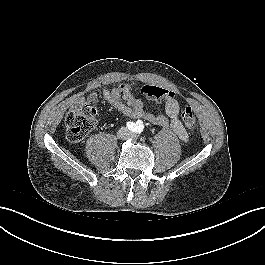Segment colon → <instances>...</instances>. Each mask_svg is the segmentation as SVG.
Returning a JSON list of instances; mask_svg holds the SVG:
<instances>
[{"label":"colon","instance_id":"obj_1","mask_svg":"<svg viewBox=\"0 0 265 265\" xmlns=\"http://www.w3.org/2000/svg\"><path fill=\"white\" fill-rule=\"evenodd\" d=\"M142 94L153 100H162L168 94L167 89L144 85L141 88ZM96 109L92 105H84L75 111H71L66 116L67 138L73 142H81L96 125ZM182 121L186 128L192 130L196 127V117L190 106H186L182 111Z\"/></svg>","mask_w":265,"mask_h":265}]
</instances>
